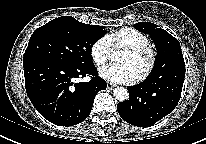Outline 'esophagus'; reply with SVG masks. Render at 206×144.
Here are the masks:
<instances>
[{"label":"esophagus","mask_w":206,"mask_h":144,"mask_svg":"<svg viewBox=\"0 0 206 144\" xmlns=\"http://www.w3.org/2000/svg\"><path fill=\"white\" fill-rule=\"evenodd\" d=\"M115 87H116L115 84H113V83H111V82H108V83H107V89H108V90H113Z\"/></svg>","instance_id":"esophagus-1"}]
</instances>
